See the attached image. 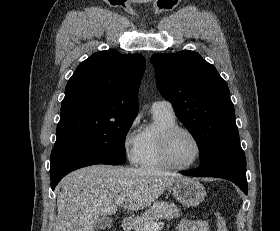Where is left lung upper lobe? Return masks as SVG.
I'll list each match as a JSON object with an SVG mask.
<instances>
[{
    "label": "left lung upper lobe",
    "instance_id": "5c2ea615",
    "mask_svg": "<svg viewBox=\"0 0 280 231\" xmlns=\"http://www.w3.org/2000/svg\"><path fill=\"white\" fill-rule=\"evenodd\" d=\"M156 84L194 137L201 164L240 145L227 83L198 53L181 51L151 57Z\"/></svg>",
    "mask_w": 280,
    "mask_h": 231
}]
</instances>
